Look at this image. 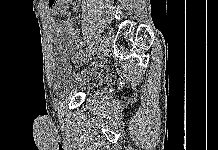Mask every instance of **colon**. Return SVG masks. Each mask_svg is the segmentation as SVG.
I'll return each instance as SVG.
<instances>
[{
	"mask_svg": "<svg viewBox=\"0 0 218 150\" xmlns=\"http://www.w3.org/2000/svg\"><path fill=\"white\" fill-rule=\"evenodd\" d=\"M50 4H55L58 2V0H48Z\"/></svg>",
	"mask_w": 218,
	"mask_h": 150,
	"instance_id": "obj_1",
	"label": "colon"
}]
</instances>
